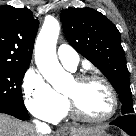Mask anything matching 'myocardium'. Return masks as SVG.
Instances as JSON below:
<instances>
[{"label": "myocardium", "mask_w": 136, "mask_h": 136, "mask_svg": "<svg viewBox=\"0 0 136 136\" xmlns=\"http://www.w3.org/2000/svg\"><path fill=\"white\" fill-rule=\"evenodd\" d=\"M75 81L78 84H85V83L91 82V81H99L107 87V89L111 95V99H112V107H111V110L109 111V113L103 117H100V118H93V117H89V116L85 115L79 109L77 103L75 102V100L72 97L65 95L69 111L76 119L83 121V122H87V123L99 124V123H103V122L110 120L116 114V112L118 110V96H117L114 86L112 85V83L108 79H106L105 77H103L101 75H97V74H85V75H80V76L76 77Z\"/></svg>", "instance_id": "myocardium-1"}]
</instances>
